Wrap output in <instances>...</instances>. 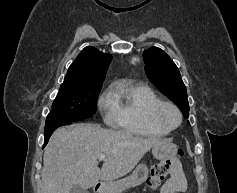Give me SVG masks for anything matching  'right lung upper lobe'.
<instances>
[{
  "mask_svg": "<svg viewBox=\"0 0 237 193\" xmlns=\"http://www.w3.org/2000/svg\"><path fill=\"white\" fill-rule=\"evenodd\" d=\"M111 60L110 54L86 47L70 65L63 83L102 86Z\"/></svg>",
  "mask_w": 237,
  "mask_h": 193,
  "instance_id": "cb5924a9",
  "label": "right lung upper lobe"
}]
</instances>
